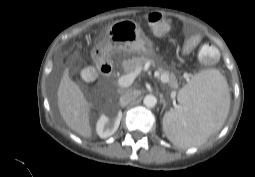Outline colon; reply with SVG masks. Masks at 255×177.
I'll use <instances>...</instances> for the list:
<instances>
[{"instance_id":"5ec220e1","label":"colon","mask_w":255,"mask_h":177,"mask_svg":"<svg viewBox=\"0 0 255 177\" xmlns=\"http://www.w3.org/2000/svg\"><path fill=\"white\" fill-rule=\"evenodd\" d=\"M147 23L152 31L160 37L167 35L172 25L169 17L156 12L148 14ZM198 55L202 62L212 64L218 59L219 52L213 44L206 43L200 47ZM82 75L84 79L92 80L95 76V71L92 68H85Z\"/></svg>"}]
</instances>
